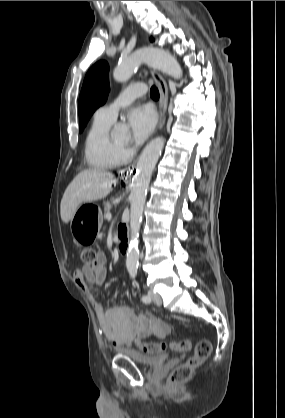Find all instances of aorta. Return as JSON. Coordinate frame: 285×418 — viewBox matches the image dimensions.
Instances as JSON below:
<instances>
[{
  "label": "aorta",
  "instance_id": "762f6f07",
  "mask_svg": "<svg viewBox=\"0 0 285 418\" xmlns=\"http://www.w3.org/2000/svg\"><path fill=\"white\" fill-rule=\"evenodd\" d=\"M142 62L148 63L174 79L182 77V69L178 61L169 52L158 48H144L121 60L114 69V79L118 82H126ZM164 142V138L157 137L146 145L139 157L136 173L132 179L130 242L126 258V267L130 273H135L138 269V238L147 190L155 165L164 148Z\"/></svg>",
  "mask_w": 285,
  "mask_h": 418
}]
</instances>
